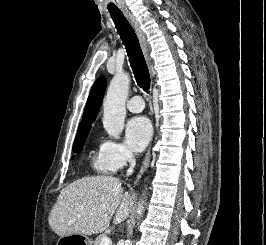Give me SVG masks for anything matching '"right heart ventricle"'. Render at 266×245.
<instances>
[{"label": "right heart ventricle", "mask_w": 266, "mask_h": 245, "mask_svg": "<svg viewBox=\"0 0 266 245\" xmlns=\"http://www.w3.org/2000/svg\"><path fill=\"white\" fill-rule=\"evenodd\" d=\"M92 167L97 170V172L102 174H109L111 173V170L108 168V166L105 164L100 152L93 151L92 161H91Z\"/></svg>", "instance_id": "obj_1"}]
</instances>
